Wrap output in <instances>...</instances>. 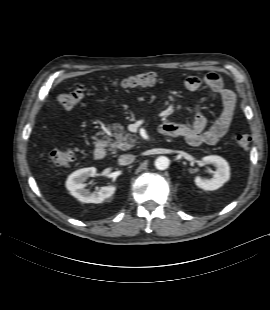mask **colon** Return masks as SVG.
<instances>
[{
    "mask_svg": "<svg viewBox=\"0 0 270 310\" xmlns=\"http://www.w3.org/2000/svg\"><path fill=\"white\" fill-rule=\"evenodd\" d=\"M159 81V77L153 72L141 73L135 76L127 77L116 82V85L123 89H132L154 85ZM85 97L84 88H78L71 92H64L58 95V103L65 109H72L78 106ZM236 144L240 149L247 150L251 143V137L248 134H239L235 138ZM77 150L73 147L55 149L51 152L50 158L53 164L65 166L76 158Z\"/></svg>",
    "mask_w": 270,
    "mask_h": 310,
    "instance_id": "5ec220e1",
    "label": "colon"
}]
</instances>
